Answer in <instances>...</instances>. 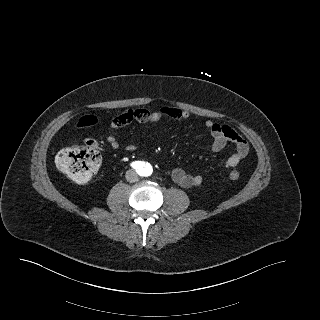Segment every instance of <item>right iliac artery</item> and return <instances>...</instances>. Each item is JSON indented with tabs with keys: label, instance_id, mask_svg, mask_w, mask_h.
Here are the masks:
<instances>
[{
	"label": "right iliac artery",
	"instance_id": "1",
	"mask_svg": "<svg viewBox=\"0 0 320 320\" xmlns=\"http://www.w3.org/2000/svg\"><path fill=\"white\" fill-rule=\"evenodd\" d=\"M131 166H132L134 169H137V168L140 167V164H139L137 161H135V162H132V163H131Z\"/></svg>",
	"mask_w": 320,
	"mask_h": 320
}]
</instances>
